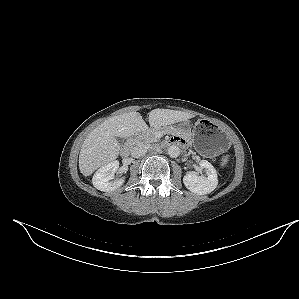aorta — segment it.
<instances>
[{"label": "aorta", "instance_id": "762f6f07", "mask_svg": "<svg viewBox=\"0 0 299 299\" xmlns=\"http://www.w3.org/2000/svg\"><path fill=\"white\" fill-rule=\"evenodd\" d=\"M168 155L172 158H176L180 154V148L176 145H172L168 148Z\"/></svg>", "mask_w": 299, "mask_h": 299}]
</instances>
